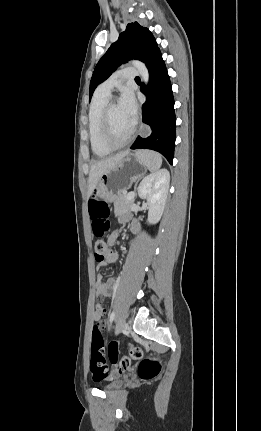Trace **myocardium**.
Segmentation results:
<instances>
[{"label": "myocardium", "instance_id": "obj_1", "mask_svg": "<svg viewBox=\"0 0 261 431\" xmlns=\"http://www.w3.org/2000/svg\"><path fill=\"white\" fill-rule=\"evenodd\" d=\"M115 102L110 101L106 104V106L103 109L102 115H101V137L103 143L109 147L112 150L120 149L127 144L130 143L132 140L136 127L133 125L132 129L130 130L129 134L124 138L123 140H116L113 136L111 125H110V111L113 107Z\"/></svg>", "mask_w": 261, "mask_h": 431}]
</instances>
